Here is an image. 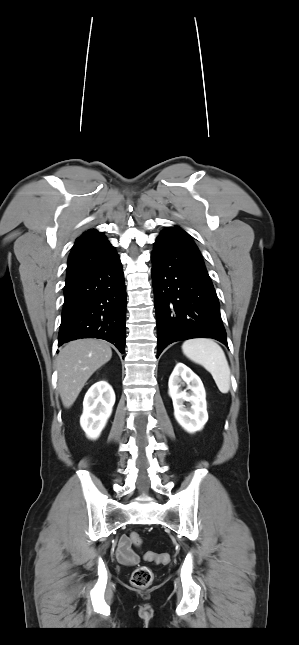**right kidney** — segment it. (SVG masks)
Wrapping results in <instances>:
<instances>
[{
    "mask_svg": "<svg viewBox=\"0 0 299 645\" xmlns=\"http://www.w3.org/2000/svg\"><path fill=\"white\" fill-rule=\"evenodd\" d=\"M115 393L105 381L93 384L83 401V414L80 425L87 437L97 439L112 413Z\"/></svg>",
    "mask_w": 299,
    "mask_h": 645,
    "instance_id": "1",
    "label": "right kidney"
}]
</instances>
